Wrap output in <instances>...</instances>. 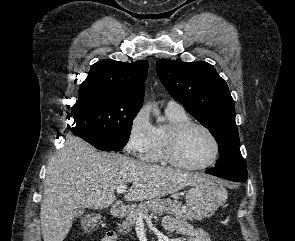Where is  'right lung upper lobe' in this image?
I'll use <instances>...</instances> for the list:
<instances>
[{
	"label": "right lung upper lobe",
	"instance_id": "cb5924a9",
	"mask_svg": "<svg viewBox=\"0 0 295 241\" xmlns=\"http://www.w3.org/2000/svg\"><path fill=\"white\" fill-rule=\"evenodd\" d=\"M148 66L145 60L133 63L101 60L92 65L88 77L79 89V98L89 92L102 91L142 105Z\"/></svg>",
	"mask_w": 295,
	"mask_h": 241
}]
</instances>
